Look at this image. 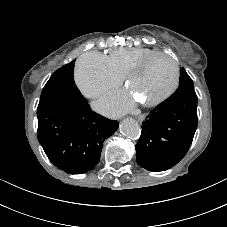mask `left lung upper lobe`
<instances>
[{
	"mask_svg": "<svg viewBox=\"0 0 227 227\" xmlns=\"http://www.w3.org/2000/svg\"><path fill=\"white\" fill-rule=\"evenodd\" d=\"M188 94H195L193 81L185 69L181 68L179 87L172 96H182Z\"/></svg>",
	"mask_w": 227,
	"mask_h": 227,
	"instance_id": "left-lung-upper-lobe-1",
	"label": "left lung upper lobe"
}]
</instances>
